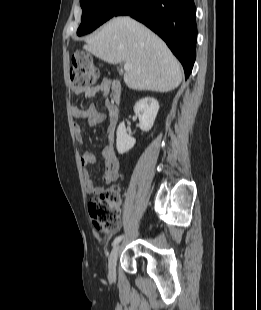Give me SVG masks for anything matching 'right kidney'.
<instances>
[{"mask_svg": "<svg viewBox=\"0 0 261 310\" xmlns=\"http://www.w3.org/2000/svg\"><path fill=\"white\" fill-rule=\"evenodd\" d=\"M158 110V101L151 97L143 98L135 104L134 112L139 117V127L142 131L147 132L152 128ZM116 136V148L119 154L128 152L136 143V140L127 134L124 122L119 124Z\"/></svg>", "mask_w": 261, "mask_h": 310, "instance_id": "ca27d5eb", "label": "right kidney"}]
</instances>
